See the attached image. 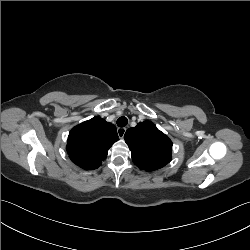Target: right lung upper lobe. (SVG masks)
Here are the masks:
<instances>
[{
    "label": "right lung upper lobe",
    "instance_id": "1",
    "mask_svg": "<svg viewBox=\"0 0 250 250\" xmlns=\"http://www.w3.org/2000/svg\"><path fill=\"white\" fill-rule=\"evenodd\" d=\"M118 140L117 129L113 124L93 117L70 131L66 150L76 165L93 170L101 165L109 148Z\"/></svg>",
    "mask_w": 250,
    "mask_h": 250
}]
</instances>
